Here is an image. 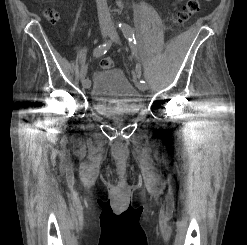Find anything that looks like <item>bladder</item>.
<instances>
[{
	"label": "bladder",
	"instance_id": "1",
	"mask_svg": "<svg viewBox=\"0 0 247 245\" xmlns=\"http://www.w3.org/2000/svg\"><path fill=\"white\" fill-rule=\"evenodd\" d=\"M89 100L95 111L104 116L136 114L141 109L140 93L119 69L94 73Z\"/></svg>",
	"mask_w": 247,
	"mask_h": 245
}]
</instances>
